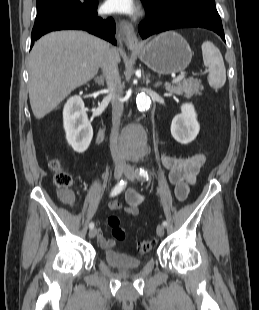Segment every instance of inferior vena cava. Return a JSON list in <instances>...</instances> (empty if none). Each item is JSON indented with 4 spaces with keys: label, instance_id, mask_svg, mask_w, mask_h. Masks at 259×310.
Instances as JSON below:
<instances>
[{
    "label": "inferior vena cava",
    "instance_id": "obj_1",
    "mask_svg": "<svg viewBox=\"0 0 259 310\" xmlns=\"http://www.w3.org/2000/svg\"><path fill=\"white\" fill-rule=\"evenodd\" d=\"M101 68L106 77L107 87L110 91V97L112 100V131L110 136V149L113 160L116 165L124 164L125 159L123 153L120 151L117 145L118 126L123 114V88L121 85V79L118 71V62L115 59L112 49L101 61Z\"/></svg>",
    "mask_w": 259,
    "mask_h": 310
}]
</instances>
